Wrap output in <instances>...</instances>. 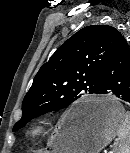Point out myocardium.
<instances>
[{
  "label": "myocardium",
  "instance_id": "myocardium-1",
  "mask_svg": "<svg viewBox=\"0 0 130 153\" xmlns=\"http://www.w3.org/2000/svg\"><path fill=\"white\" fill-rule=\"evenodd\" d=\"M51 129L52 123L47 119H41L30 126L27 135L31 139H37L49 133Z\"/></svg>",
  "mask_w": 130,
  "mask_h": 153
}]
</instances>
